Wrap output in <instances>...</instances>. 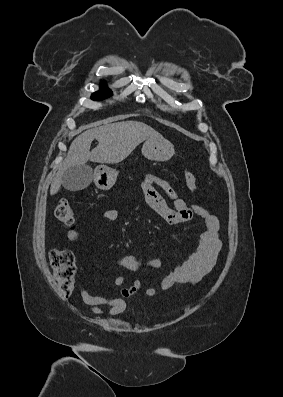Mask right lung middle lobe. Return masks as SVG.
Segmentation results:
<instances>
[{"label":"right lung middle lobe","mask_w":283,"mask_h":397,"mask_svg":"<svg viewBox=\"0 0 283 397\" xmlns=\"http://www.w3.org/2000/svg\"><path fill=\"white\" fill-rule=\"evenodd\" d=\"M112 95V92L105 86L101 85L100 90L91 95L92 100H103Z\"/></svg>","instance_id":"1"}]
</instances>
